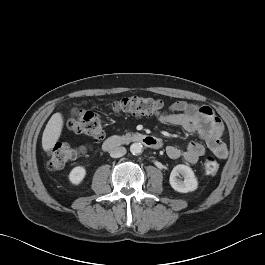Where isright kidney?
<instances>
[{
    "mask_svg": "<svg viewBox=\"0 0 265 265\" xmlns=\"http://www.w3.org/2000/svg\"><path fill=\"white\" fill-rule=\"evenodd\" d=\"M86 175V170L82 166H77L73 168L69 174V180L72 184H80Z\"/></svg>",
    "mask_w": 265,
    "mask_h": 265,
    "instance_id": "obj_1",
    "label": "right kidney"
}]
</instances>
